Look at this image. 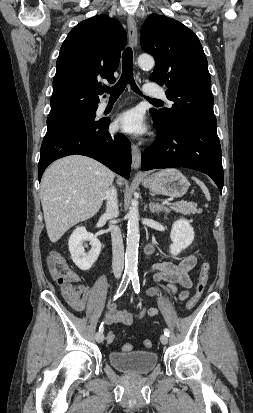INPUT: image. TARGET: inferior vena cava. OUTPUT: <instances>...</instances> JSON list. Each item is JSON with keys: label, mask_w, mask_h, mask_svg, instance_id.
<instances>
[{"label": "inferior vena cava", "mask_w": 253, "mask_h": 413, "mask_svg": "<svg viewBox=\"0 0 253 413\" xmlns=\"http://www.w3.org/2000/svg\"><path fill=\"white\" fill-rule=\"evenodd\" d=\"M106 213L105 215L109 219H113L118 215V204H117V192L114 187H111L106 192ZM112 239V268L113 273L120 277L124 269V246L122 235L119 227L117 225L110 224L109 226Z\"/></svg>", "instance_id": "602c4592"}]
</instances>
